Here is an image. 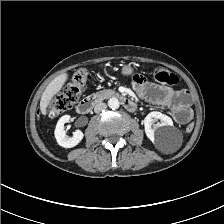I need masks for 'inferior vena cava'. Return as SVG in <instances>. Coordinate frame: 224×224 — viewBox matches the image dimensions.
Returning <instances> with one entry per match:
<instances>
[{"label":"inferior vena cava","mask_w":224,"mask_h":224,"mask_svg":"<svg viewBox=\"0 0 224 224\" xmlns=\"http://www.w3.org/2000/svg\"><path fill=\"white\" fill-rule=\"evenodd\" d=\"M107 108V105L103 102H100L95 105L94 107V112L95 113H100L101 111L105 110Z\"/></svg>","instance_id":"602c4592"}]
</instances>
